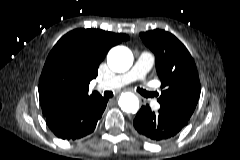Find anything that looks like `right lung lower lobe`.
Instances as JSON below:
<instances>
[{"label":"right lung lower lobe","instance_id":"98d812e1","mask_svg":"<svg viewBox=\"0 0 240 160\" xmlns=\"http://www.w3.org/2000/svg\"><path fill=\"white\" fill-rule=\"evenodd\" d=\"M107 102L100 94L91 96L76 106L57 111L46 118V123L63 140L80 139L94 131Z\"/></svg>","mask_w":240,"mask_h":160}]
</instances>
